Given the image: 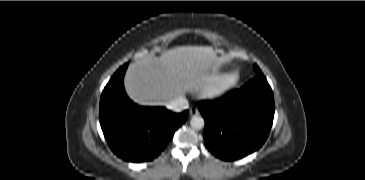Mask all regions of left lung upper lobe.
I'll return each mask as SVG.
<instances>
[{"label": "left lung upper lobe", "instance_id": "left-lung-upper-lobe-1", "mask_svg": "<svg viewBox=\"0 0 365 180\" xmlns=\"http://www.w3.org/2000/svg\"><path fill=\"white\" fill-rule=\"evenodd\" d=\"M254 70H255L256 76L263 75V73L261 72V70L259 69V67L256 64L254 65Z\"/></svg>", "mask_w": 365, "mask_h": 180}]
</instances>
